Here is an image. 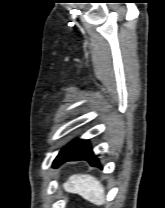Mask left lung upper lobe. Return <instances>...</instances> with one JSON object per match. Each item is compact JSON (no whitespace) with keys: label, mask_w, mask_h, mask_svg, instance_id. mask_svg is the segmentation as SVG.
Listing matches in <instances>:
<instances>
[{"label":"left lung upper lobe","mask_w":165,"mask_h":208,"mask_svg":"<svg viewBox=\"0 0 165 208\" xmlns=\"http://www.w3.org/2000/svg\"><path fill=\"white\" fill-rule=\"evenodd\" d=\"M74 141L70 142L67 146H65L64 148H62V150L60 151V153L58 154V156L56 157V159L53 162V166H57L58 163L61 161V159L63 158V156L68 152V150L71 148L72 144Z\"/></svg>","instance_id":"5c2ea615"}]
</instances>
